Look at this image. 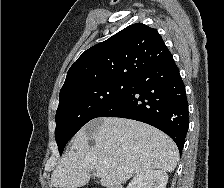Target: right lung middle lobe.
<instances>
[{"instance_id":"obj_1","label":"right lung middle lobe","mask_w":224,"mask_h":188,"mask_svg":"<svg viewBox=\"0 0 224 188\" xmlns=\"http://www.w3.org/2000/svg\"><path fill=\"white\" fill-rule=\"evenodd\" d=\"M130 86L131 80H108L60 91L55 130L59 153L88 121L101 117L118 104Z\"/></svg>"}]
</instances>
